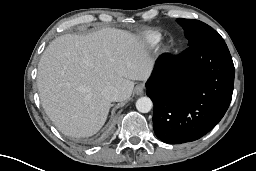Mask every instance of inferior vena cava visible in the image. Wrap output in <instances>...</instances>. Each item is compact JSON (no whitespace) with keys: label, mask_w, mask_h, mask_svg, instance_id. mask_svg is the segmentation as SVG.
Wrapping results in <instances>:
<instances>
[{"label":"inferior vena cava","mask_w":256,"mask_h":171,"mask_svg":"<svg viewBox=\"0 0 256 171\" xmlns=\"http://www.w3.org/2000/svg\"><path fill=\"white\" fill-rule=\"evenodd\" d=\"M102 95L104 98L110 102H114L118 100L119 92L114 86H107L102 90Z\"/></svg>","instance_id":"602c4592"}]
</instances>
